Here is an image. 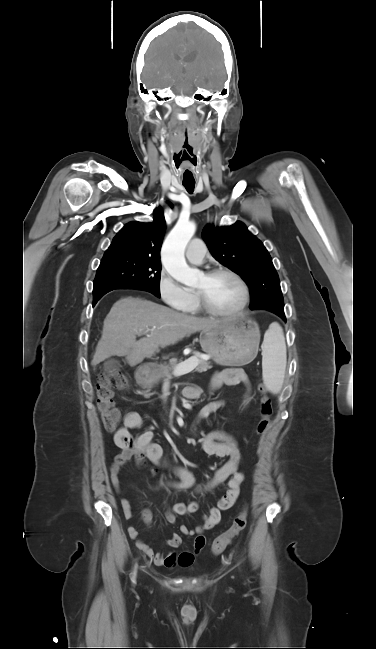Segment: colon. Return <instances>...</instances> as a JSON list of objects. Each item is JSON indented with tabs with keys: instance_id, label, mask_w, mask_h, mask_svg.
<instances>
[{
	"instance_id": "obj_1",
	"label": "colon",
	"mask_w": 376,
	"mask_h": 649,
	"mask_svg": "<svg viewBox=\"0 0 376 649\" xmlns=\"http://www.w3.org/2000/svg\"><path fill=\"white\" fill-rule=\"evenodd\" d=\"M129 387L128 379L125 375L114 372L102 375L97 387V407L100 413L103 425L106 430L114 431L120 421V412L115 408L113 403L114 390H126ZM261 398L259 402L260 418L256 425L257 434L263 436L268 432L271 425L272 407L269 397L267 396L266 387L259 386ZM247 510L243 509L233 520L231 527L220 535L212 544V552L216 555L224 551L245 529L247 524Z\"/></svg>"
}]
</instances>
